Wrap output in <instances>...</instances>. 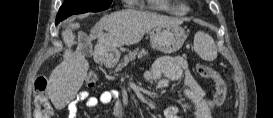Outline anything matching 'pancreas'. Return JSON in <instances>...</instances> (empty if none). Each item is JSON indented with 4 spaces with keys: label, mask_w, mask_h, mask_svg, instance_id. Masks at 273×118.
Listing matches in <instances>:
<instances>
[{
    "label": "pancreas",
    "mask_w": 273,
    "mask_h": 118,
    "mask_svg": "<svg viewBox=\"0 0 273 118\" xmlns=\"http://www.w3.org/2000/svg\"><path fill=\"white\" fill-rule=\"evenodd\" d=\"M146 55H148V51H146L144 49L139 50V48H137V49H135L133 51H130L128 53V55H125L124 58L122 59V61L118 64V66L116 68V71H119L123 67L127 66V64L130 61H133L136 57L141 58V57L146 56Z\"/></svg>",
    "instance_id": "cf45deb5"
}]
</instances>
